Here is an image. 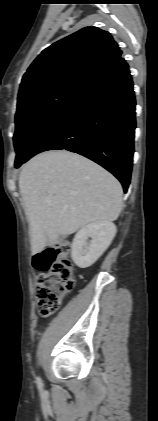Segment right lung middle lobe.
Listing matches in <instances>:
<instances>
[{"instance_id":"dd1d6c3e","label":"right lung middle lobe","mask_w":158,"mask_h":421,"mask_svg":"<svg viewBox=\"0 0 158 421\" xmlns=\"http://www.w3.org/2000/svg\"><path fill=\"white\" fill-rule=\"evenodd\" d=\"M83 84L64 83L34 92L18 100L13 137L16 150L15 167L29 155L33 145L59 116Z\"/></svg>"}]
</instances>
